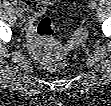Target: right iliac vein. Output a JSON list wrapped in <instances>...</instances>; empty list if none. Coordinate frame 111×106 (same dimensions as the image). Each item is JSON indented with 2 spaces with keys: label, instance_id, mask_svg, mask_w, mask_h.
Returning a JSON list of instances; mask_svg holds the SVG:
<instances>
[{
  "label": "right iliac vein",
  "instance_id": "1",
  "mask_svg": "<svg viewBox=\"0 0 111 106\" xmlns=\"http://www.w3.org/2000/svg\"><path fill=\"white\" fill-rule=\"evenodd\" d=\"M16 14L19 16V17H22L23 16V9L22 8H20V7H18V8H16Z\"/></svg>",
  "mask_w": 111,
  "mask_h": 106
}]
</instances>
